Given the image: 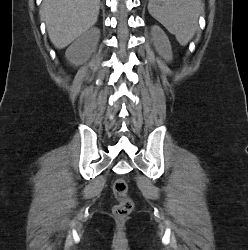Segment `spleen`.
I'll use <instances>...</instances> for the list:
<instances>
[{
    "mask_svg": "<svg viewBox=\"0 0 248 250\" xmlns=\"http://www.w3.org/2000/svg\"><path fill=\"white\" fill-rule=\"evenodd\" d=\"M200 0H149L148 11L185 46L194 37L201 14Z\"/></svg>",
    "mask_w": 248,
    "mask_h": 250,
    "instance_id": "3e777b00",
    "label": "spleen"
}]
</instances>
